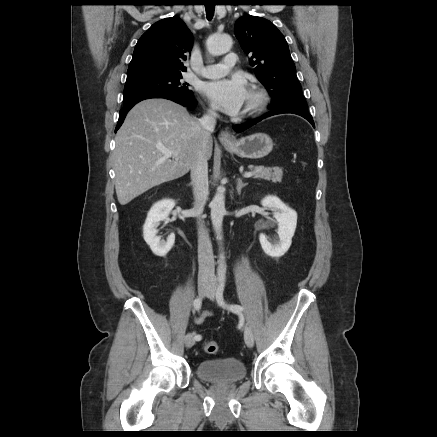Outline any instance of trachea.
Segmentation results:
<instances>
[{
  "label": "trachea",
  "instance_id": "trachea-1",
  "mask_svg": "<svg viewBox=\"0 0 437 437\" xmlns=\"http://www.w3.org/2000/svg\"><path fill=\"white\" fill-rule=\"evenodd\" d=\"M206 16L208 20H211L214 16L215 5L210 4L205 6Z\"/></svg>",
  "mask_w": 437,
  "mask_h": 437
}]
</instances>
